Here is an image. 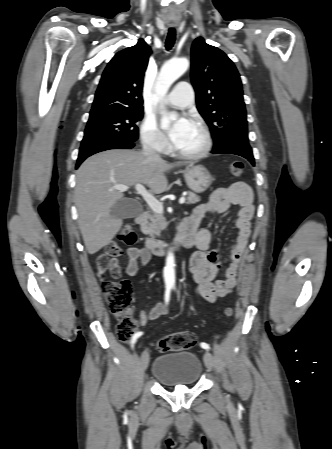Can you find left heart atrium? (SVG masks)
I'll return each mask as SVG.
<instances>
[{
	"label": "left heart atrium",
	"instance_id": "left-heart-atrium-1",
	"mask_svg": "<svg viewBox=\"0 0 332 449\" xmlns=\"http://www.w3.org/2000/svg\"><path fill=\"white\" fill-rule=\"evenodd\" d=\"M191 124L192 122L186 117H180L175 122H173L168 131V135L174 145H176L181 140L182 136L188 130Z\"/></svg>",
	"mask_w": 332,
	"mask_h": 449
}]
</instances>
